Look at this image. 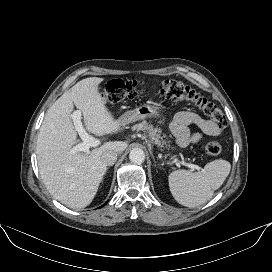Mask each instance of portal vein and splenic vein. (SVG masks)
<instances>
[{"label":"portal vein and splenic vein","mask_w":272,"mask_h":272,"mask_svg":"<svg viewBox=\"0 0 272 272\" xmlns=\"http://www.w3.org/2000/svg\"><path fill=\"white\" fill-rule=\"evenodd\" d=\"M81 111L76 110L71 114V118L74 122V126L76 131L78 132L80 138L82 139V142L74 146L71 150V154H76L77 152H85L88 153L90 147H97L100 145V141L92 136H90L85 129L83 128L82 122H81ZM175 163L177 166L184 165L189 168H191L192 171L194 170H200L201 167L191 164V163H186L184 161H177L175 160Z\"/></svg>","instance_id":"1"}]
</instances>
